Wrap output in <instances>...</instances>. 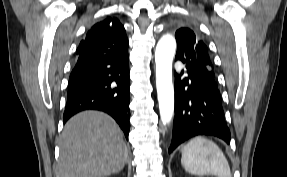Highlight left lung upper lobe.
<instances>
[{
  "label": "left lung upper lobe",
  "mask_w": 287,
  "mask_h": 177,
  "mask_svg": "<svg viewBox=\"0 0 287 177\" xmlns=\"http://www.w3.org/2000/svg\"><path fill=\"white\" fill-rule=\"evenodd\" d=\"M177 53L182 61L197 70L200 75H205L207 80L215 81L213 63L210 59L206 44L196 38L194 32L188 28H180L175 33Z\"/></svg>",
  "instance_id": "left-lung-upper-lobe-1"
}]
</instances>
